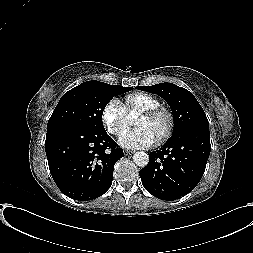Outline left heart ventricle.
Segmentation results:
<instances>
[{
	"instance_id": "b2bd125f",
	"label": "left heart ventricle",
	"mask_w": 253,
	"mask_h": 253,
	"mask_svg": "<svg viewBox=\"0 0 253 253\" xmlns=\"http://www.w3.org/2000/svg\"><path fill=\"white\" fill-rule=\"evenodd\" d=\"M165 126H166V118L164 116H159L156 118L139 116L136 121L137 128H145L150 130L157 139L162 134Z\"/></svg>"
}]
</instances>
